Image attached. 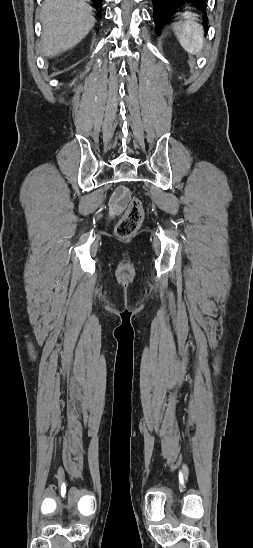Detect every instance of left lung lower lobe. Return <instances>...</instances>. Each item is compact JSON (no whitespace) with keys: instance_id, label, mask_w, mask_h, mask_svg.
Segmentation results:
<instances>
[{"instance_id":"obj_1","label":"left lung lower lobe","mask_w":253,"mask_h":548,"mask_svg":"<svg viewBox=\"0 0 253 548\" xmlns=\"http://www.w3.org/2000/svg\"><path fill=\"white\" fill-rule=\"evenodd\" d=\"M154 4V22L158 33L164 25L169 23V15L173 13L177 5L188 4L205 12L207 0H152ZM206 25V24H205Z\"/></svg>"}]
</instances>
